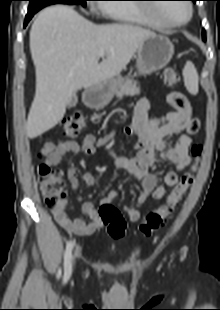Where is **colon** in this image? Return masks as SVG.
<instances>
[{
	"instance_id": "5ec220e1",
	"label": "colon",
	"mask_w": 220,
	"mask_h": 310,
	"mask_svg": "<svg viewBox=\"0 0 220 310\" xmlns=\"http://www.w3.org/2000/svg\"><path fill=\"white\" fill-rule=\"evenodd\" d=\"M164 81L169 86H176L180 82L179 74L173 68H166L164 70ZM84 125L85 119L81 113L70 114L65 117L62 122V127L65 134L70 137L78 136L84 128ZM201 152V145L197 144L192 147V155L195 160L191 165V170L186 172L181 177L162 205L146 214L144 220L139 226V230L142 235L146 237L151 236L152 233L160 229L170 218L173 210L192 184V172L197 167ZM37 173L46 205L53 209L56 208L62 201L65 193V184L62 178V171L59 169H52L45 164H41L38 167ZM99 217L102 224L107 227L111 237L118 239L125 235V219L123 218L121 212L113 204H102L99 208Z\"/></svg>"
}]
</instances>
